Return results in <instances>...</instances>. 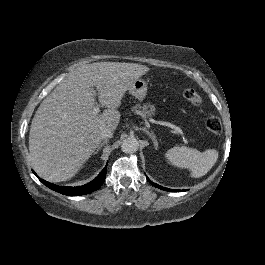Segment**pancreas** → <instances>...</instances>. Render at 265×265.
Returning <instances> with one entry per match:
<instances>
[{
	"instance_id": "cf45deb5",
	"label": "pancreas",
	"mask_w": 265,
	"mask_h": 265,
	"mask_svg": "<svg viewBox=\"0 0 265 265\" xmlns=\"http://www.w3.org/2000/svg\"><path fill=\"white\" fill-rule=\"evenodd\" d=\"M133 113L139 112L140 114L150 116L155 115V105L151 103H138L134 108H131Z\"/></svg>"
}]
</instances>
